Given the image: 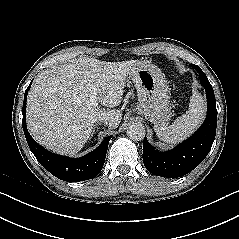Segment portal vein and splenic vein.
<instances>
[{"label": "portal vein and splenic vein", "instance_id": "portal-vein-and-splenic-vein-1", "mask_svg": "<svg viewBox=\"0 0 239 239\" xmlns=\"http://www.w3.org/2000/svg\"><path fill=\"white\" fill-rule=\"evenodd\" d=\"M90 103L93 106H97L98 102H97V96H96V92L95 89H90Z\"/></svg>", "mask_w": 239, "mask_h": 239}]
</instances>
